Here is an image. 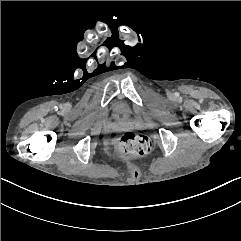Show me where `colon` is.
I'll return each mask as SVG.
<instances>
[{"label":"colon","instance_id":"obj_1","mask_svg":"<svg viewBox=\"0 0 241 241\" xmlns=\"http://www.w3.org/2000/svg\"><path fill=\"white\" fill-rule=\"evenodd\" d=\"M152 150V143L146 135L124 133L116 142L111 155L119 157H144Z\"/></svg>","mask_w":241,"mask_h":241}]
</instances>
